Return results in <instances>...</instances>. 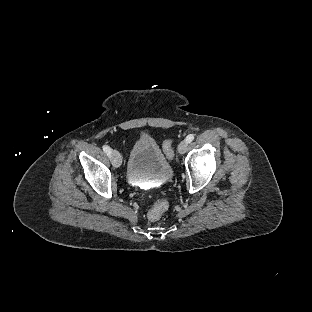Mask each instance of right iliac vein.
<instances>
[{
  "label": "right iliac vein",
  "instance_id": "63e3f726",
  "mask_svg": "<svg viewBox=\"0 0 312 312\" xmlns=\"http://www.w3.org/2000/svg\"><path fill=\"white\" fill-rule=\"evenodd\" d=\"M111 162L114 167H120L121 166V156L117 150L111 151Z\"/></svg>",
  "mask_w": 312,
  "mask_h": 312
}]
</instances>
